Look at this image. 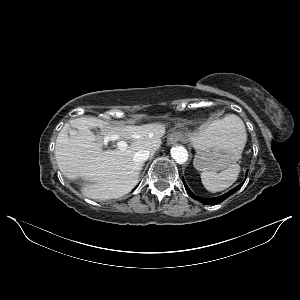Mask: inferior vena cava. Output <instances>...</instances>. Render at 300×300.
Wrapping results in <instances>:
<instances>
[{"instance_id":"obj_1","label":"inferior vena cava","mask_w":300,"mask_h":300,"mask_svg":"<svg viewBox=\"0 0 300 300\" xmlns=\"http://www.w3.org/2000/svg\"><path fill=\"white\" fill-rule=\"evenodd\" d=\"M150 152L148 150H139L138 152H136L133 156V161L138 163V164H142L145 161H147V159L149 158Z\"/></svg>"}]
</instances>
